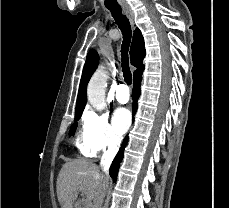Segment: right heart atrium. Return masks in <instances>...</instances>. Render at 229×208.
I'll return each instance as SVG.
<instances>
[{
	"mask_svg": "<svg viewBox=\"0 0 229 208\" xmlns=\"http://www.w3.org/2000/svg\"><path fill=\"white\" fill-rule=\"evenodd\" d=\"M121 141L110 125L107 114L92 109L85 111L81 127V147L84 153L94 154L116 148Z\"/></svg>",
	"mask_w": 229,
	"mask_h": 208,
	"instance_id": "d8ad5b80",
	"label": "right heart atrium"
}]
</instances>
